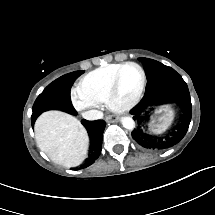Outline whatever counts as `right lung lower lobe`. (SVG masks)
I'll list each match as a JSON object with an SVG mask.
<instances>
[{"instance_id":"obj_1","label":"right lung lower lobe","mask_w":215,"mask_h":215,"mask_svg":"<svg viewBox=\"0 0 215 215\" xmlns=\"http://www.w3.org/2000/svg\"><path fill=\"white\" fill-rule=\"evenodd\" d=\"M35 120L36 119H31L32 127L34 126ZM82 124L87 129L90 137L88 158L86 159L85 163L80 167L86 168L92 165L101 154L102 138L106 123L103 120L96 121L82 120Z\"/></svg>"}]
</instances>
